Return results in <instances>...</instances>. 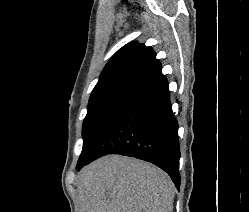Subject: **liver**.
Wrapping results in <instances>:
<instances>
[{
  "instance_id": "6515ba94",
  "label": "liver",
  "mask_w": 249,
  "mask_h": 212,
  "mask_svg": "<svg viewBox=\"0 0 249 212\" xmlns=\"http://www.w3.org/2000/svg\"><path fill=\"white\" fill-rule=\"evenodd\" d=\"M78 212H173L166 172L126 156H104L77 176Z\"/></svg>"
}]
</instances>
